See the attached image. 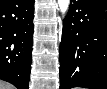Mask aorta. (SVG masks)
Masks as SVG:
<instances>
[{"label": "aorta", "mask_w": 107, "mask_h": 89, "mask_svg": "<svg viewBox=\"0 0 107 89\" xmlns=\"http://www.w3.org/2000/svg\"><path fill=\"white\" fill-rule=\"evenodd\" d=\"M70 0H58L60 12L65 15L68 11Z\"/></svg>", "instance_id": "aorta-1"}]
</instances>
